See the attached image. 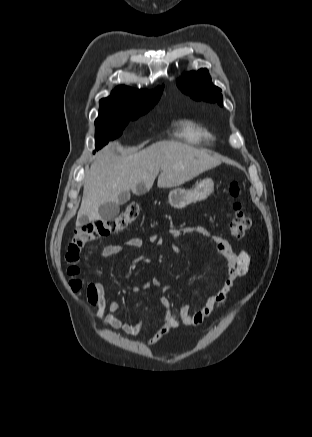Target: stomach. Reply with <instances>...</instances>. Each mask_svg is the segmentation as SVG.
Instances as JSON below:
<instances>
[{"label": "stomach", "mask_w": 312, "mask_h": 437, "mask_svg": "<svg viewBox=\"0 0 312 437\" xmlns=\"http://www.w3.org/2000/svg\"><path fill=\"white\" fill-rule=\"evenodd\" d=\"M214 190V182L206 178L195 185L194 188H175L169 192L168 203L174 209H183L189 204L207 199Z\"/></svg>", "instance_id": "1"}]
</instances>
